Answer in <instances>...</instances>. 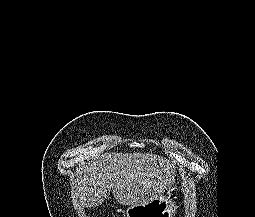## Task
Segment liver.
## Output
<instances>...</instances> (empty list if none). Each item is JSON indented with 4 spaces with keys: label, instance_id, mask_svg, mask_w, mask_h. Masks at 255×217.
Returning <instances> with one entry per match:
<instances>
[{
    "label": "liver",
    "instance_id": "liver-1",
    "mask_svg": "<svg viewBox=\"0 0 255 217\" xmlns=\"http://www.w3.org/2000/svg\"><path fill=\"white\" fill-rule=\"evenodd\" d=\"M72 193L77 207H97L112 190L121 205H143L161 196L175 182V166L150 153L104 154L84 164Z\"/></svg>",
    "mask_w": 255,
    "mask_h": 217
}]
</instances>
